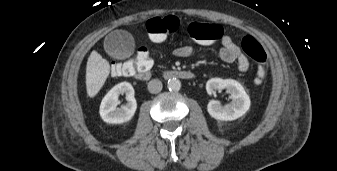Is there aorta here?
I'll use <instances>...</instances> for the list:
<instances>
[{
    "instance_id": "obj_1",
    "label": "aorta",
    "mask_w": 337,
    "mask_h": 171,
    "mask_svg": "<svg viewBox=\"0 0 337 171\" xmlns=\"http://www.w3.org/2000/svg\"><path fill=\"white\" fill-rule=\"evenodd\" d=\"M181 88V82L177 78H171L168 80V89L170 91H179Z\"/></svg>"
}]
</instances>
